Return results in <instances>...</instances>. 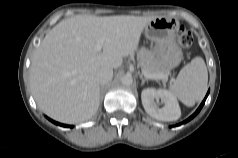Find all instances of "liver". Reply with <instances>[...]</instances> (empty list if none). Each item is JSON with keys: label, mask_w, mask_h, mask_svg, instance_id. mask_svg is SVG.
Here are the masks:
<instances>
[{"label": "liver", "mask_w": 238, "mask_h": 158, "mask_svg": "<svg viewBox=\"0 0 238 158\" xmlns=\"http://www.w3.org/2000/svg\"><path fill=\"white\" fill-rule=\"evenodd\" d=\"M156 17L76 15L54 26L34 52L30 84L38 107L68 124L92 118L100 104L97 72L117 69L138 48L145 26ZM99 39L103 50L96 51Z\"/></svg>", "instance_id": "obj_1"}]
</instances>
